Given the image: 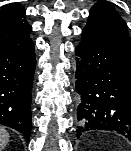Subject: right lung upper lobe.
Listing matches in <instances>:
<instances>
[{
  "label": "right lung upper lobe",
  "mask_w": 131,
  "mask_h": 151,
  "mask_svg": "<svg viewBox=\"0 0 131 151\" xmlns=\"http://www.w3.org/2000/svg\"><path fill=\"white\" fill-rule=\"evenodd\" d=\"M25 9L18 4L7 5L0 11V35H16L29 31Z\"/></svg>",
  "instance_id": "cb5924a9"
}]
</instances>
